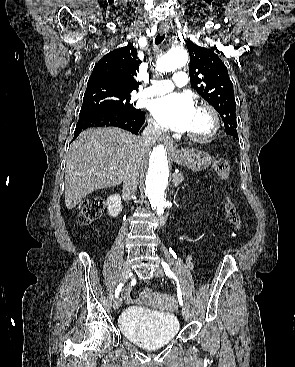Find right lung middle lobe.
Instances as JSON below:
<instances>
[{"label":"right lung middle lobe","mask_w":295,"mask_h":367,"mask_svg":"<svg viewBox=\"0 0 295 367\" xmlns=\"http://www.w3.org/2000/svg\"><path fill=\"white\" fill-rule=\"evenodd\" d=\"M140 109L130 103V94H121L103 88L86 89L80 114L89 112L133 113Z\"/></svg>","instance_id":"1"}]
</instances>
